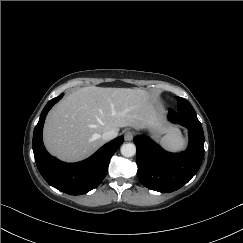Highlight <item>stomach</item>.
<instances>
[{
	"instance_id": "stomach-1",
	"label": "stomach",
	"mask_w": 243,
	"mask_h": 243,
	"mask_svg": "<svg viewBox=\"0 0 243 243\" xmlns=\"http://www.w3.org/2000/svg\"><path fill=\"white\" fill-rule=\"evenodd\" d=\"M146 128L155 138H158L164 131V126L156 115H152L150 121L146 124Z\"/></svg>"
}]
</instances>
